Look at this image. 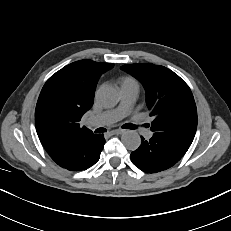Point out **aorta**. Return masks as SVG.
Instances as JSON below:
<instances>
[{
    "mask_svg": "<svg viewBox=\"0 0 231 231\" xmlns=\"http://www.w3.org/2000/svg\"><path fill=\"white\" fill-rule=\"evenodd\" d=\"M96 100L103 107H114L119 101V93L112 86H102L96 92ZM121 139L124 146L131 151L138 149L141 144L139 134L133 130L125 132Z\"/></svg>",
    "mask_w": 231,
    "mask_h": 231,
    "instance_id": "762f6f07",
    "label": "aorta"
}]
</instances>
